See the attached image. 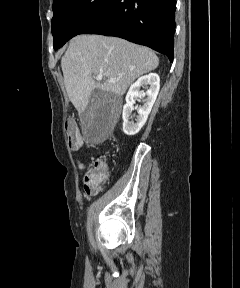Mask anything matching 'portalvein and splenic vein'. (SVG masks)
<instances>
[{
  "mask_svg": "<svg viewBox=\"0 0 240 288\" xmlns=\"http://www.w3.org/2000/svg\"><path fill=\"white\" fill-rule=\"evenodd\" d=\"M95 78H96V80H102L103 75L102 74H98ZM109 82H114V80L110 79Z\"/></svg>",
  "mask_w": 240,
  "mask_h": 288,
  "instance_id": "portal-vein-and-splenic-vein-1",
  "label": "portal vein and splenic vein"
}]
</instances>
